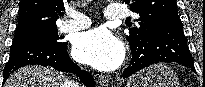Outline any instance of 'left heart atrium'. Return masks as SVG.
<instances>
[{
  "mask_svg": "<svg viewBox=\"0 0 205 87\" xmlns=\"http://www.w3.org/2000/svg\"><path fill=\"white\" fill-rule=\"evenodd\" d=\"M74 57L96 69H116L124 58L122 43L108 30L95 28L81 33L73 46Z\"/></svg>",
  "mask_w": 205,
  "mask_h": 87,
  "instance_id": "left-heart-atrium-1",
  "label": "left heart atrium"
}]
</instances>
